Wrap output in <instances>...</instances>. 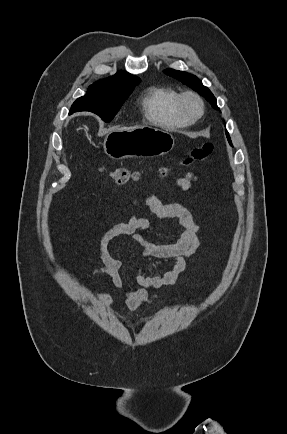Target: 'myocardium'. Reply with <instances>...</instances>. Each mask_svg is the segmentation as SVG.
<instances>
[{
    "label": "myocardium",
    "instance_id": "1",
    "mask_svg": "<svg viewBox=\"0 0 287 434\" xmlns=\"http://www.w3.org/2000/svg\"><path fill=\"white\" fill-rule=\"evenodd\" d=\"M196 105V110L192 111L189 104ZM177 109L179 113L190 122L199 119L204 112V103L202 98L193 91H186L178 96Z\"/></svg>",
    "mask_w": 287,
    "mask_h": 434
}]
</instances>
